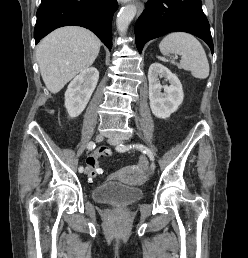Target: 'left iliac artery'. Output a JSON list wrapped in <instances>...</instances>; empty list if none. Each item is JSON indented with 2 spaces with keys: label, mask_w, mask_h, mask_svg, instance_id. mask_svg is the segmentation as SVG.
<instances>
[{
  "label": "left iliac artery",
  "mask_w": 248,
  "mask_h": 258,
  "mask_svg": "<svg viewBox=\"0 0 248 258\" xmlns=\"http://www.w3.org/2000/svg\"><path fill=\"white\" fill-rule=\"evenodd\" d=\"M131 148H136V149L142 151L143 153L148 155V157L150 158L151 161H154V155L151 152V150L148 149L146 146H144L142 144H133V145H131V144L130 145L120 144L119 146L116 147V149L119 152H125V151H128Z\"/></svg>",
  "instance_id": "left-iliac-artery-1"
}]
</instances>
